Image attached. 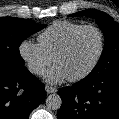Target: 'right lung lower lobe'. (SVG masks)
Listing matches in <instances>:
<instances>
[{"instance_id":"right-lung-lower-lobe-1","label":"right lung lower lobe","mask_w":119,"mask_h":119,"mask_svg":"<svg viewBox=\"0 0 119 119\" xmlns=\"http://www.w3.org/2000/svg\"><path fill=\"white\" fill-rule=\"evenodd\" d=\"M45 97V85L24 65L0 67V119H28Z\"/></svg>"}]
</instances>
